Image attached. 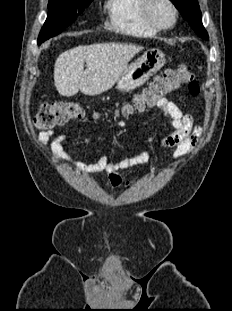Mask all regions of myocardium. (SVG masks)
I'll return each mask as SVG.
<instances>
[{
    "label": "myocardium",
    "instance_id": "obj_1",
    "mask_svg": "<svg viewBox=\"0 0 232 311\" xmlns=\"http://www.w3.org/2000/svg\"><path fill=\"white\" fill-rule=\"evenodd\" d=\"M155 0H142V4H141V16L144 20V22L149 25L150 27L156 29L157 31H162V30H168L170 28H172L176 21H177V17H178V10L176 5L173 3L172 0H162L165 3H167L172 11V20L169 24L167 25H161L157 22H155L151 16H150V5L154 2Z\"/></svg>",
    "mask_w": 232,
    "mask_h": 311
}]
</instances>
